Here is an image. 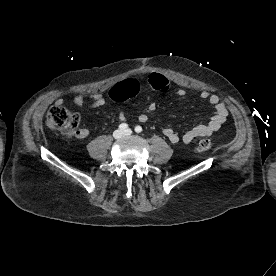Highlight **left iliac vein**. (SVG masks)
<instances>
[{
    "instance_id": "obj_1",
    "label": "left iliac vein",
    "mask_w": 276,
    "mask_h": 276,
    "mask_svg": "<svg viewBox=\"0 0 276 276\" xmlns=\"http://www.w3.org/2000/svg\"><path fill=\"white\" fill-rule=\"evenodd\" d=\"M131 134H132V131L130 129L123 132V135L125 136L131 135Z\"/></svg>"
}]
</instances>
